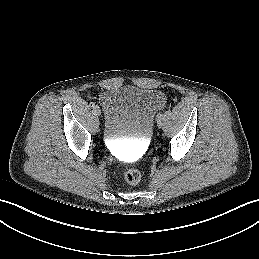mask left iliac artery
<instances>
[{
	"instance_id": "left-iliac-artery-1",
	"label": "left iliac artery",
	"mask_w": 259,
	"mask_h": 259,
	"mask_svg": "<svg viewBox=\"0 0 259 259\" xmlns=\"http://www.w3.org/2000/svg\"><path fill=\"white\" fill-rule=\"evenodd\" d=\"M162 117H163V113H159V114L157 115V120H161Z\"/></svg>"
}]
</instances>
